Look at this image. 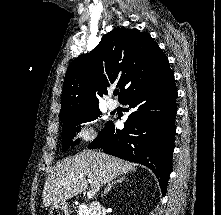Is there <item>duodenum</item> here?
<instances>
[{"mask_svg":"<svg viewBox=\"0 0 221 215\" xmlns=\"http://www.w3.org/2000/svg\"><path fill=\"white\" fill-rule=\"evenodd\" d=\"M88 208L92 211L95 215H99L100 207L97 203H90L88 204Z\"/></svg>","mask_w":221,"mask_h":215,"instance_id":"1","label":"duodenum"}]
</instances>
